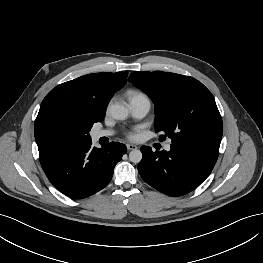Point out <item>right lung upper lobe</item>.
Returning a JSON list of instances; mask_svg holds the SVG:
<instances>
[{
	"mask_svg": "<svg viewBox=\"0 0 263 263\" xmlns=\"http://www.w3.org/2000/svg\"><path fill=\"white\" fill-rule=\"evenodd\" d=\"M127 75L88 74L52 89L41 103L34 126L40 162L53 156L47 152V140L55 122L82 118L102 121L109 100L126 84Z\"/></svg>",
	"mask_w": 263,
	"mask_h": 263,
	"instance_id": "obj_1",
	"label": "right lung upper lobe"
}]
</instances>
